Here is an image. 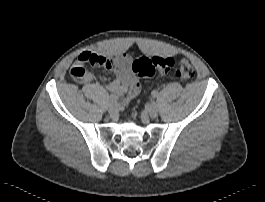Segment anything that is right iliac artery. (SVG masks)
Wrapping results in <instances>:
<instances>
[{"label": "right iliac artery", "instance_id": "obj_1", "mask_svg": "<svg viewBox=\"0 0 265 202\" xmlns=\"http://www.w3.org/2000/svg\"><path fill=\"white\" fill-rule=\"evenodd\" d=\"M117 100H118V97L117 96L111 95L109 97V105L112 104V103L117 102Z\"/></svg>", "mask_w": 265, "mask_h": 202}]
</instances>
